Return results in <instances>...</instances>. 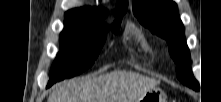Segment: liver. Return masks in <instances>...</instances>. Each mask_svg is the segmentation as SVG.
Listing matches in <instances>:
<instances>
[{
	"instance_id": "6515ba94",
	"label": "liver",
	"mask_w": 221,
	"mask_h": 102,
	"mask_svg": "<svg viewBox=\"0 0 221 102\" xmlns=\"http://www.w3.org/2000/svg\"><path fill=\"white\" fill-rule=\"evenodd\" d=\"M158 84L137 73L115 71L65 82L52 91L47 102H135Z\"/></svg>"
}]
</instances>
